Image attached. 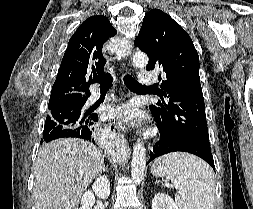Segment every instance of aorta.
<instances>
[{
	"instance_id": "762f6f07",
	"label": "aorta",
	"mask_w": 253,
	"mask_h": 209,
	"mask_svg": "<svg viewBox=\"0 0 253 209\" xmlns=\"http://www.w3.org/2000/svg\"><path fill=\"white\" fill-rule=\"evenodd\" d=\"M148 57L144 53H135L133 56V64L138 68L146 67ZM114 147V146H113ZM146 169V149L143 144L138 141L134 146L132 163H131V176L136 184H140L144 178Z\"/></svg>"
}]
</instances>
